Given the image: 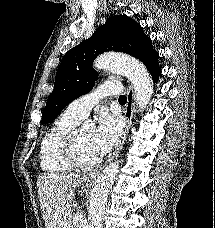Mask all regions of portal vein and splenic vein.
I'll use <instances>...</instances> for the list:
<instances>
[{
  "label": "portal vein and splenic vein",
  "mask_w": 215,
  "mask_h": 228,
  "mask_svg": "<svg viewBox=\"0 0 215 228\" xmlns=\"http://www.w3.org/2000/svg\"><path fill=\"white\" fill-rule=\"evenodd\" d=\"M73 220H75V222H82L83 216H81V214H74Z\"/></svg>",
  "instance_id": "obj_1"
}]
</instances>
